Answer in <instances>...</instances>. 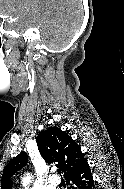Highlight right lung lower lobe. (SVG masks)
Segmentation results:
<instances>
[{"label":"right lung lower lobe","mask_w":124,"mask_h":189,"mask_svg":"<svg viewBox=\"0 0 124 189\" xmlns=\"http://www.w3.org/2000/svg\"><path fill=\"white\" fill-rule=\"evenodd\" d=\"M68 189H94L93 176L85 160L79 167L64 175Z\"/></svg>","instance_id":"right-lung-lower-lobe-1"}]
</instances>
